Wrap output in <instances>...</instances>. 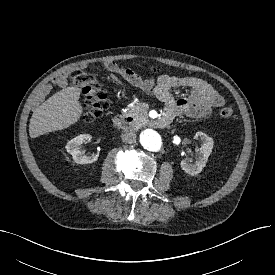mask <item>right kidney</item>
<instances>
[{"label":"right kidney","instance_id":"ca27d5eb","mask_svg":"<svg viewBox=\"0 0 275 275\" xmlns=\"http://www.w3.org/2000/svg\"><path fill=\"white\" fill-rule=\"evenodd\" d=\"M91 140V135L80 134L70 140L66 145V150L72 155L73 160L78 164L93 163L98 159L99 154L86 155L84 150L81 149V145Z\"/></svg>","mask_w":275,"mask_h":275}]
</instances>
